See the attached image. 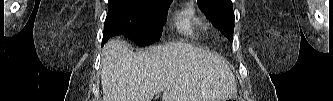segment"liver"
Here are the masks:
<instances>
[{
    "mask_svg": "<svg viewBox=\"0 0 333 101\" xmlns=\"http://www.w3.org/2000/svg\"><path fill=\"white\" fill-rule=\"evenodd\" d=\"M103 101H225L236 95L234 75L219 55L184 43L133 53L112 39L103 49Z\"/></svg>",
    "mask_w": 333,
    "mask_h": 101,
    "instance_id": "liver-1",
    "label": "liver"
}]
</instances>
